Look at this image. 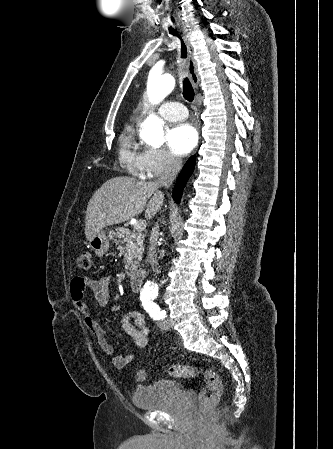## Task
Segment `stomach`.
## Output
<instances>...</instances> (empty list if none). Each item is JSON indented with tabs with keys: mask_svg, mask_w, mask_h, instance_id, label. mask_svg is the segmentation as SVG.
Segmentation results:
<instances>
[{
	"mask_svg": "<svg viewBox=\"0 0 333 449\" xmlns=\"http://www.w3.org/2000/svg\"><path fill=\"white\" fill-rule=\"evenodd\" d=\"M89 243L92 250L99 256H103L109 249V239L103 230L92 237Z\"/></svg>",
	"mask_w": 333,
	"mask_h": 449,
	"instance_id": "1",
	"label": "stomach"
}]
</instances>
